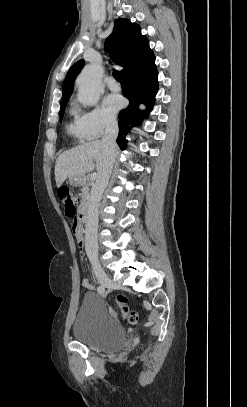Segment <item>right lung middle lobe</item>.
Masks as SVG:
<instances>
[{
	"instance_id": "obj_1",
	"label": "right lung middle lobe",
	"mask_w": 247,
	"mask_h": 407,
	"mask_svg": "<svg viewBox=\"0 0 247 407\" xmlns=\"http://www.w3.org/2000/svg\"><path fill=\"white\" fill-rule=\"evenodd\" d=\"M68 101L62 102L60 104V120H62L63 115H64V111H65V107Z\"/></svg>"
}]
</instances>
